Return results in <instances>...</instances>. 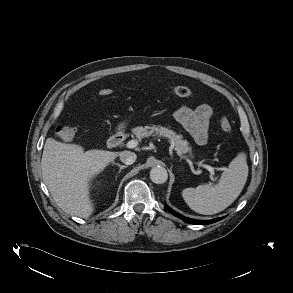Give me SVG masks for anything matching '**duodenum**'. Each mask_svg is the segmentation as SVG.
I'll return each instance as SVG.
<instances>
[{"mask_svg":"<svg viewBox=\"0 0 293 293\" xmlns=\"http://www.w3.org/2000/svg\"><path fill=\"white\" fill-rule=\"evenodd\" d=\"M125 140V135L123 132H117L109 137L107 141V146L109 148H117L120 146Z\"/></svg>","mask_w":293,"mask_h":293,"instance_id":"410a0bca","label":"duodenum"}]
</instances>
